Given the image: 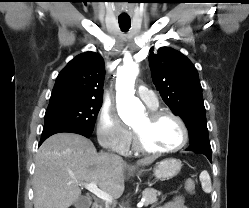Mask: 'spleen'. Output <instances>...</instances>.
I'll list each match as a JSON object with an SVG mask.
<instances>
[{
  "label": "spleen",
  "instance_id": "1",
  "mask_svg": "<svg viewBox=\"0 0 249 208\" xmlns=\"http://www.w3.org/2000/svg\"><path fill=\"white\" fill-rule=\"evenodd\" d=\"M199 178L201 181L203 191L205 193H210L212 191V187H211V179L209 173L206 170H204L200 173Z\"/></svg>",
  "mask_w": 249,
  "mask_h": 208
}]
</instances>
